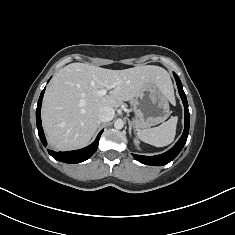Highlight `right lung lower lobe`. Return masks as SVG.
Masks as SVG:
<instances>
[{
  "mask_svg": "<svg viewBox=\"0 0 235 235\" xmlns=\"http://www.w3.org/2000/svg\"><path fill=\"white\" fill-rule=\"evenodd\" d=\"M44 91H45V88L41 92V95L38 100V105H37V109H36V121H37V128H38L39 137L41 139L42 144L44 146H46L47 142H46V139L44 136V132H43L42 124H41V115H40ZM102 132H103V130L98 134L96 140L91 145H89L83 149L74 150V151H67V152H59V153L48 150V152L52 157H54L56 160L61 161V162H65V163L83 162V161L87 160L88 158H90L97 150V147L99 144V139H100Z\"/></svg>",
  "mask_w": 235,
  "mask_h": 235,
  "instance_id": "right-lung-lower-lobe-1",
  "label": "right lung lower lobe"
}]
</instances>
